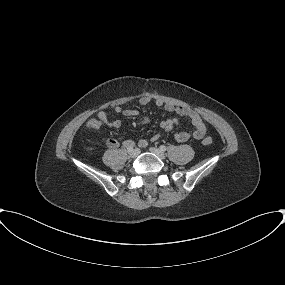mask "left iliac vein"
Masks as SVG:
<instances>
[{
    "label": "left iliac vein",
    "mask_w": 285,
    "mask_h": 285,
    "mask_svg": "<svg viewBox=\"0 0 285 285\" xmlns=\"http://www.w3.org/2000/svg\"><path fill=\"white\" fill-rule=\"evenodd\" d=\"M149 150L152 153H154L156 156H158L160 159H164L165 158V154H164V152L161 149L156 148V147H151Z\"/></svg>",
    "instance_id": "left-iliac-vein-1"
}]
</instances>
